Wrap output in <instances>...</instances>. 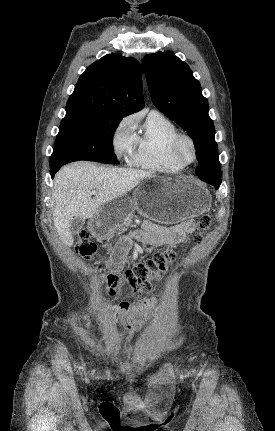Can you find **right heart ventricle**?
<instances>
[{
    "mask_svg": "<svg viewBox=\"0 0 275 431\" xmlns=\"http://www.w3.org/2000/svg\"><path fill=\"white\" fill-rule=\"evenodd\" d=\"M178 134L177 126L169 118L158 111H151L136 135L137 150L132 158L134 165L160 173L181 171L184 167L175 162L171 155V144Z\"/></svg>",
    "mask_w": 275,
    "mask_h": 431,
    "instance_id": "e07e8e85",
    "label": "right heart ventricle"
}]
</instances>
